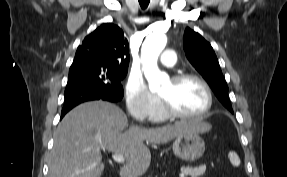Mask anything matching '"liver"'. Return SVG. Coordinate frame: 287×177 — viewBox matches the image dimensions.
Returning <instances> with one entry per match:
<instances>
[{
	"label": "liver",
	"mask_w": 287,
	"mask_h": 177,
	"mask_svg": "<svg viewBox=\"0 0 287 177\" xmlns=\"http://www.w3.org/2000/svg\"><path fill=\"white\" fill-rule=\"evenodd\" d=\"M127 117L105 101L83 103L71 110L54 133L48 177H100L101 150L124 156L120 175L138 177L149 168L151 153L144 144H164L187 132H207L211 125L199 119L157 128L131 126L124 133Z\"/></svg>",
	"instance_id": "6515ba94"
}]
</instances>
